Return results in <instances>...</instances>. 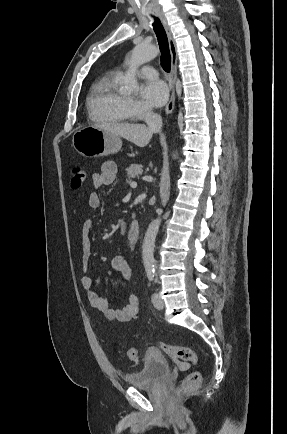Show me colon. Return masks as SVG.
Masks as SVG:
<instances>
[{
    "label": "colon",
    "mask_w": 287,
    "mask_h": 434,
    "mask_svg": "<svg viewBox=\"0 0 287 434\" xmlns=\"http://www.w3.org/2000/svg\"><path fill=\"white\" fill-rule=\"evenodd\" d=\"M86 170L82 165H75L72 169L71 187L73 189L80 188L86 180ZM161 348L175 359L184 361L193 367L184 378L181 385L176 389V397H182L187 392L195 389L201 382V373L196 369L197 357L195 353L187 347L175 346L167 343H161ZM126 357L132 362L138 361V350L135 347H130L126 351Z\"/></svg>",
    "instance_id": "obj_1"
}]
</instances>
